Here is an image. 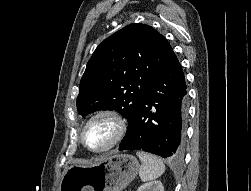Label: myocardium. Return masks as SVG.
<instances>
[{
	"mask_svg": "<svg viewBox=\"0 0 251 191\" xmlns=\"http://www.w3.org/2000/svg\"><path fill=\"white\" fill-rule=\"evenodd\" d=\"M97 117L109 118L114 124L115 134H114V137H113V140L111 141V143L104 150L99 151V152H93V151L86 149L83 146L82 132L84 131V129L88 125V123ZM126 130H127L126 120L117 111H115L113 109H100V110H97V111L93 112L92 114H90L83 122V124L79 130V133H78V144H79L80 149H82L83 151L90 153V154H93V155H96V156H101V155L108 153L110 150H112L115 146H117L122 141V139L124 138V136L126 134Z\"/></svg>",
	"mask_w": 251,
	"mask_h": 191,
	"instance_id": "myocardium-1",
	"label": "myocardium"
}]
</instances>
